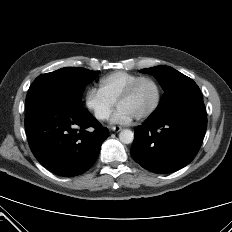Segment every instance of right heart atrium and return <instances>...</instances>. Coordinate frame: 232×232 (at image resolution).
<instances>
[{"label": "right heart atrium", "instance_id": "1", "mask_svg": "<svg viewBox=\"0 0 232 232\" xmlns=\"http://www.w3.org/2000/svg\"><path fill=\"white\" fill-rule=\"evenodd\" d=\"M84 105L91 115L100 122L106 121L114 108V103L94 87H90L85 92Z\"/></svg>", "mask_w": 232, "mask_h": 232}]
</instances>
